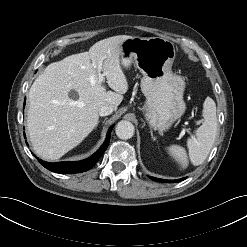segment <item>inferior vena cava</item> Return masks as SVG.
Masks as SVG:
<instances>
[{
  "label": "inferior vena cava",
  "instance_id": "inferior-vena-cava-1",
  "mask_svg": "<svg viewBox=\"0 0 247 247\" xmlns=\"http://www.w3.org/2000/svg\"><path fill=\"white\" fill-rule=\"evenodd\" d=\"M113 111H114V107L112 105L105 104L99 108V115L107 116L110 115Z\"/></svg>",
  "mask_w": 247,
  "mask_h": 247
}]
</instances>
